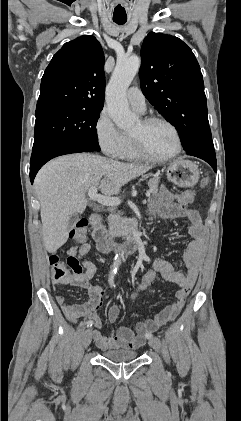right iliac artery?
<instances>
[{
    "mask_svg": "<svg viewBox=\"0 0 241 421\" xmlns=\"http://www.w3.org/2000/svg\"><path fill=\"white\" fill-rule=\"evenodd\" d=\"M108 281H109V284L111 286H114V273L113 272L110 273V276H109V280ZM86 325H87V327H91L93 325V322L92 321H87L86 322Z\"/></svg>",
    "mask_w": 241,
    "mask_h": 421,
    "instance_id": "1",
    "label": "right iliac artery"
}]
</instances>
